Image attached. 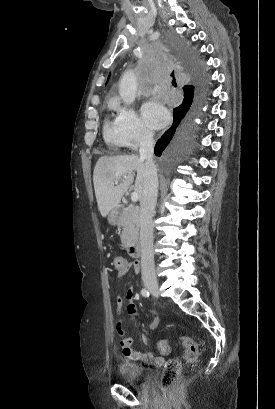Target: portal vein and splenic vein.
I'll return each instance as SVG.
<instances>
[{"mask_svg":"<svg viewBox=\"0 0 275 409\" xmlns=\"http://www.w3.org/2000/svg\"><path fill=\"white\" fill-rule=\"evenodd\" d=\"M124 178H127V176H124ZM115 184H118V180H115ZM131 198H132L133 202H136V200H138L137 192H132Z\"/></svg>","mask_w":275,"mask_h":409,"instance_id":"portal-vein-and-splenic-vein-1","label":"portal vein and splenic vein"}]
</instances>
